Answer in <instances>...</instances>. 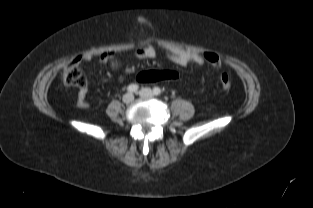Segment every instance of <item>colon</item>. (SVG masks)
<instances>
[{"mask_svg":"<svg viewBox=\"0 0 313 208\" xmlns=\"http://www.w3.org/2000/svg\"><path fill=\"white\" fill-rule=\"evenodd\" d=\"M203 58L206 63L210 64L215 70L220 69L221 62L219 57L214 53H204ZM178 74L169 70H146L137 75L140 82L152 83L159 81H177ZM63 82L67 86H83L84 77L79 64L74 61L71 62L63 73ZM220 85L224 90H229L231 87V78L228 74L224 73L220 77Z\"/></svg>","mask_w":313,"mask_h":208,"instance_id":"obj_1","label":"colon"}]
</instances>
